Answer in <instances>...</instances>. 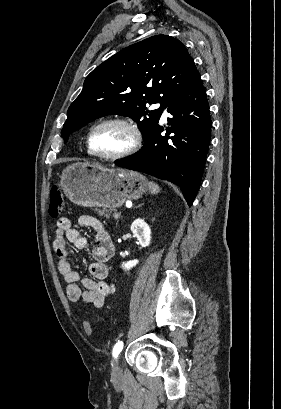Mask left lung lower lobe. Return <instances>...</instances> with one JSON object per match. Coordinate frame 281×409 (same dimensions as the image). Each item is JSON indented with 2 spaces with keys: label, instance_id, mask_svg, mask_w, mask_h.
I'll return each instance as SVG.
<instances>
[{
  "label": "left lung lower lobe",
  "instance_id": "1",
  "mask_svg": "<svg viewBox=\"0 0 281 409\" xmlns=\"http://www.w3.org/2000/svg\"><path fill=\"white\" fill-rule=\"evenodd\" d=\"M167 111L173 116L168 118L171 127L167 134L161 135L163 127L158 124L140 152L116 165L179 185L191 206L200 187L211 138L209 104L198 71Z\"/></svg>",
  "mask_w": 281,
  "mask_h": 409
}]
</instances>
